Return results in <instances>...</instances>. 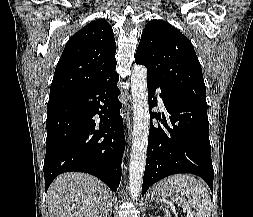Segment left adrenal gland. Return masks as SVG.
<instances>
[{"mask_svg": "<svg viewBox=\"0 0 253 217\" xmlns=\"http://www.w3.org/2000/svg\"><path fill=\"white\" fill-rule=\"evenodd\" d=\"M153 200H154V198L152 197V198H151V201H153Z\"/></svg>", "mask_w": 253, "mask_h": 217, "instance_id": "left-adrenal-gland-1", "label": "left adrenal gland"}]
</instances>
